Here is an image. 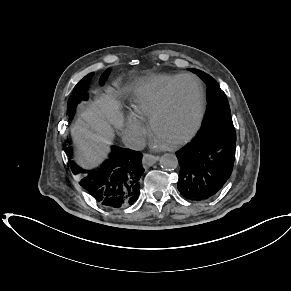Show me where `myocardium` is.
Segmentation results:
<instances>
[{
  "instance_id": "f54148a6",
  "label": "myocardium",
  "mask_w": 291,
  "mask_h": 291,
  "mask_svg": "<svg viewBox=\"0 0 291 291\" xmlns=\"http://www.w3.org/2000/svg\"><path fill=\"white\" fill-rule=\"evenodd\" d=\"M186 80H191L195 83L197 87V114L196 119L193 127L190 129V131L184 135L183 137L171 142L169 145L172 147H178L181 146L188 141H190L199 131L201 128L204 114H205V92L203 85L201 81L190 74H185L180 76L165 92L162 101L158 105V107L152 112V114L149 117V126L151 131H154V126L156 121L159 117H161L170 107L173 95L175 94L176 90L179 88V86Z\"/></svg>"
}]
</instances>
